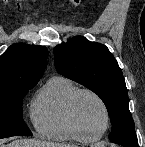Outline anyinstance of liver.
<instances>
[{
  "mask_svg": "<svg viewBox=\"0 0 145 147\" xmlns=\"http://www.w3.org/2000/svg\"><path fill=\"white\" fill-rule=\"evenodd\" d=\"M1 147H76L70 144H60L45 142L35 139L15 140L7 145H1Z\"/></svg>",
  "mask_w": 145,
  "mask_h": 147,
  "instance_id": "liver-1",
  "label": "liver"
}]
</instances>
